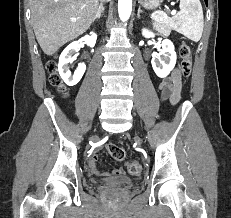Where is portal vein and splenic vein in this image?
I'll use <instances>...</instances> for the list:
<instances>
[{
	"label": "portal vein and splenic vein",
	"instance_id": "18ae733b",
	"mask_svg": "<svg viewBox=\"0 0 231 218\" xmlns=\"http://www.w3.org/2000/svg\"><path fill=\"white\" fill-rule=\"evenodd\" d=\"M171 14H172V15L176 14V10H172V11H171ZM71 21L75 22L76 19H75V18H72Z\"/></svg>",
	"mask_w": 231,
	"mask_h": 218
}]
</instances>
